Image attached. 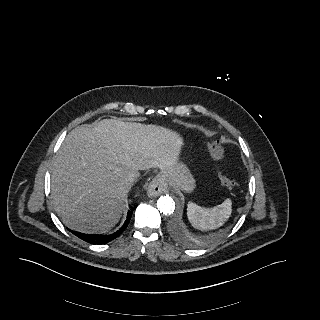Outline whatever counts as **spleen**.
<instances>
[{"mask_svg":"<svg viewBox=\"0 0 320 320\" xmlns=\"http://www.w3.org/2000/svg\"><path fill=\"white\" fill-rule=\"evenodd\" d=\"M232 213V201L226 199L213 208H204L190 202L187 206V216L193 227L202 230H213L221 227Z\"/></svg>","mask_w":320,"mask_h":320,"instance_id":"3e777b00","label":"spleen"}]
</instances>
